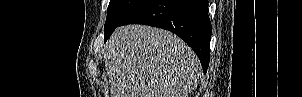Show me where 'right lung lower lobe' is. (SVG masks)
<instances>
[{"label": "right lung lower lobe", "mask_w": 302, "mask_h": 97, "mask_svg": "<svg viewBox=\"0 0 302 97\" xmlns=\"http://www.w3.org/2000/svg\"><path fill=\"white\" fill-rule=\"evenodd\" d=\"M126 24L172 31L194 50L206 73L212 33L208 0H144L119 26Z\"/></svg>", "instance_id": "1"}]
</instances>
